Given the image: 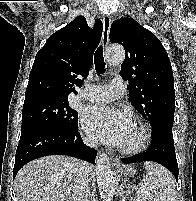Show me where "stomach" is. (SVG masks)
Wrapping results in <instances>:
<instances>
[{
	"label": "stomach",
	"instance_id": "0dacf381",
	"mask_svg": "<svg viewBox=\"0 0 196 201\" xmlns=\"http://www.w3.org/2000/svg\"><path fill=\"white\" fill-rule=\"evenodd\" d=\"M125 175L132 176L134 174V170L130 167L126 168L124 171Z\"/></svg>",
	"mask_w": 196,
	"mask_h": 201
}]
</instances>
